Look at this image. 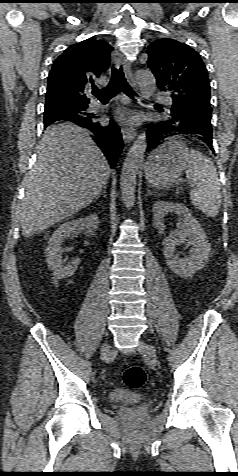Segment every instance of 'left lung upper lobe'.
<instances>
[{
    "instance_id": "obj_1",
    "label": "left lung upper lobe",
    "mask_w": 238,
    "mask_h": 476,
    "mask_svg": "<svg viewBox=\"0 0 238 476\" xmlns=\"http://www.w3.org/2000/svg\"><path fill=\"white\" fill-rule=\"evenodd\" d=\"M147 54L158 87L172 93V109L211 114L210 82L197 52L186 44L162 38L148 46Z\"/></svg>"
}]
</instances>
